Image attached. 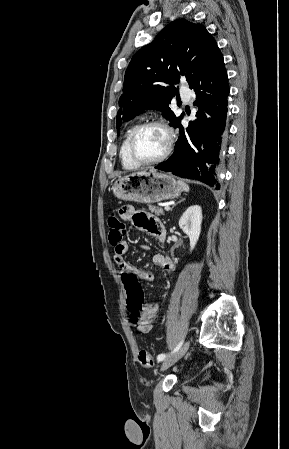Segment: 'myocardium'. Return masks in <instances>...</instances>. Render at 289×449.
Wrapping results in <instances>:
<instances>
[{"mask_svg":"<svg viewBox=\"0 0 289 449\" xmlns=\"http://www.w3.org/2000/svg\"><path fill=\"white\" fill-rule=\"evenodd\" d=\"M150 126L160 127L165 132V134L167 136V145H166L164 152L159 157H157L153 160L144 161V160L139 159L136 155L135 141H136V138H137L138 134L140 133V131L143 130L144 128L150 127ZM174 144H175V132H174L173 128L162 118H151V119L145 120L144 122L138 124L133 129V131L130 135V138H129V154H130L131 159L139 166L154 165V164L162 162L171 154V152L173 151V148H174Z\"/></svg>","mask_w":289,"mask_h":449,"instance_id":"f54148a6","label":"myocardium"}]
</instances>
